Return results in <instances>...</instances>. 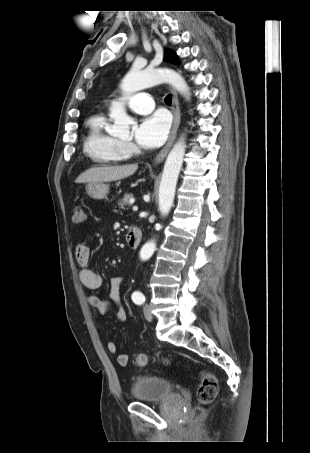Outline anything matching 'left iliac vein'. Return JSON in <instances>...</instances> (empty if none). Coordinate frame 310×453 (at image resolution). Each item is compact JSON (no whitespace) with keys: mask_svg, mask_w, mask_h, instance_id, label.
Instances as JSON below:
<instances>
[{"mask_svg":"<svg viewBox=\"0 0 310 453\" xmlns=\"http://www.w3.org/2000/svg\"><path fill=\"white\" fill-rule=\"evenodd\" d=\"M143 313H144V316H145V318L147 320H152L153 316H152V313H151L150 306L148 304L144 305Z\"/></svg>","mask_w":310,"mask_h":453,"instance_id":"1","label":"left iliac vein"}]
</instances>
